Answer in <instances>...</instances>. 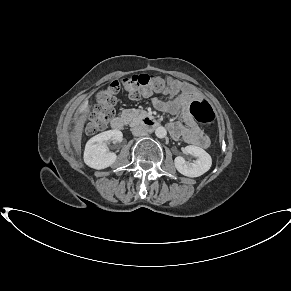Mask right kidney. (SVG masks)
<instances>
[{
	"mask_svg": "<svg viewBox=\"0 0 291 291\" xmlns=\"http://www.w3.org/2000/svg\"><path fill=\"white\" fill-rule=\"evenodd\" d=\"M122 138L120 130H108L92 137L85 146V164L97 170L111 166L116 161L117 155L109 152L106 142L108 140L120 142Z\"/></svg>",
	"mask_w": 291,
	"mask_h": 291,
	"instance_id": "ca27d5eb",
	"label": "right kidney"
}]
</instances>
